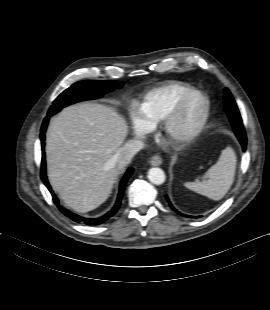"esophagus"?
I'll list each match as a JSON object with an SVG mask.
<instances>
[{
    "instance_id": "34e87169",
    "label": "esophagus",
    "mask_w": 270,
    "mask_h": 310,
    "mask_svg": "<svg viewBox=\"0 0 270 310\" xmlns=\"http://www.w3.org/2000/svg\"><path fill=\"white\" fill-rule=\"evenodd\" d=\"M150 164L152 166H159L162 164V158L159 155H154L151 160H150Z\"/></svg>"
}]
</instances>
